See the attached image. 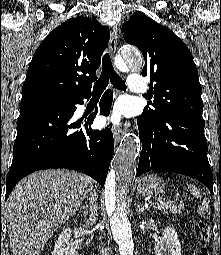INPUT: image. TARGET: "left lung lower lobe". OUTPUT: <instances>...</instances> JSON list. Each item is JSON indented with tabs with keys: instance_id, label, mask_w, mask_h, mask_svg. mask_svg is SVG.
I'll use <instances>...</instances> for the list:
<instances>
[{
	"instance_id": "obj_1",
	"label": "left lung lower lobe",
	"mask_w": 221,
	"mask_h": 255,
	"mask_svg": "<svg viewBox=\"0 0 221 255\" xmlns=\"http://www.w3.org/2000/svg\"><path fill=\"white\" fill-rule=\"evenodd\" d=\"M204 126V121L181 113H169L158 120L142 114L138 119L143 143L137 176L151 170L184 174L213 193Z\"/></svg>"
}]
</instances>
